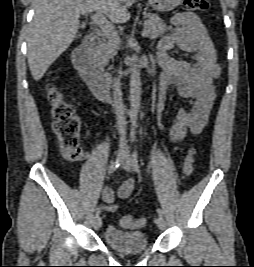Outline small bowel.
I'll list each match as a JSON object with an SVG mask.
<instances>
[{
  "instance_id": "small-bowel-1",
  "label": "small bowel",
  "mask_w": 254,
  "mask_h": 267,
  "mask_svg": "<svg viewBox=\"0 0 254 267\" xmlns=\"http://www.w3.org/2000/svg\"><path fill=\"white\" fill-rule=\"evenodd\" d=\"M172 31L163 37L157 45L155 57L162 68L157 106L158 119L163 110L167 92L176 87L180 97L189 101L190 108H179L171 120L170 140L178 142L188 133L199 134L209 119L215 99L214 80L220 75L216 51L201 19L194 13H177L170 19ZM191 53L190 61L178 60L168 55L173 47ZM135 180L125 181L117 191L120 199H127L134 188ZM101 197L105 202L103 209L115 212L119 205L115 203V194L104 186Z\"/></svg>"
}]
</instances>
